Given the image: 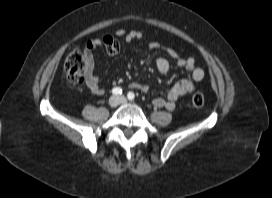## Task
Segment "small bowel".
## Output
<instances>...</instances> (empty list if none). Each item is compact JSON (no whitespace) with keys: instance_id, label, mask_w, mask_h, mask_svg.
<instances>
[{"instance_id":"c3829d8e","label":"small bowel","mask_w":272,"mask_h":198,"mask_svg":"<svg viewBox=\"0 0 272 198\" xmlns=\"http://www.w3.org/2000/svg\"><path fill=\"white\" fill-rule=\"evenodd\" d=\"M143 34L138 30H125L117 29L113 34H107L100 38L90 39L85 44V81L86 85L94 95H103L105 89L99 84L98 76L95 71V50L99 47H104L109 55H117L120 50V44L117 38H124L126 42H132L141 39ZM148 47L153 50L159 49V45L156 42H150ZM167 55L172 58L176 65L185 68L189 71L188 78L180 80L171 88L166 90V98H156L153 104L159 108H166L167 110H174L176 101L191 93L195 89V83L202 80L204 77V71L195 66V59L193 57H183L174 49H165ZM157 70L160 73L168 72L170 68L169 60L165 57H159L155 61ZM132 89L139 90L141 92H147L149 86L141 82H132L129 84Z\"/></svg>"}]
</instances>
